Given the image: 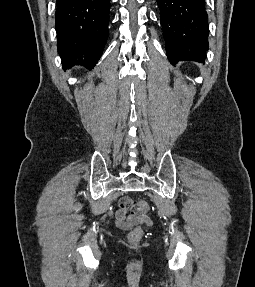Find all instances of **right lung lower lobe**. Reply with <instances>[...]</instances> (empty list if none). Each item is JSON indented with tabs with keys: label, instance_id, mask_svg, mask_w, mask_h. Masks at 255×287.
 I'll return each instance as SVG.
<instances>
[{
	"label": "right lung lower lobe",
	"instance_id": "1",
	"mask_svg": "<svg viewBox=\"0 0 255 287\" xmlns=\"http://www.w3.org/2000/svg\"><path fill=\"white\" fill-rule=\"evenodd\" d=\"M110 0H57L58 52L63 69L93 68L108 37Z\"/></svg>",
	"mask_w": 255,
	"mask_h": 287
}]
</instances>
